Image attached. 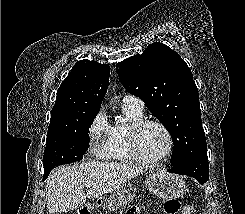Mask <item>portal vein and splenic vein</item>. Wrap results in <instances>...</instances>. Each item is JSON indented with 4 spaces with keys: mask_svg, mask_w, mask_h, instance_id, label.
Instances as JSON below:
<instances>
[{
    "mask_svg": "<svg viewBox=\"0 0 245 214\" xmlns=\"http://www.w3.org/2000/svg\"><path fill=\"white\" fill-rule=\"evenodd\" d=\"M85 186H86V187H91L92 184L87 183V184H85Z\"/></svg>",
    "mask_w": 245,
    "mask_h": 214,
    "instance_id": "obj_1",
    "label": "portal vein and splenic vein"
}]
</instances>
